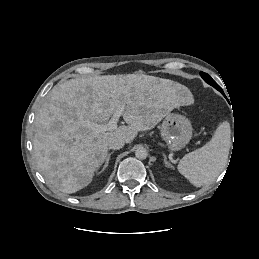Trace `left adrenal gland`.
Masks as SVG:
<instances>
[{
	"instance_id": "left-adrenal-gland-1",
	"label": "left adrenal gland",
	"mask_w": 259,
	"mask_h": 259,
	"mask_svg": "<svg viewBox=\"0 0 259 259\" xmlns=\"http://www.w3.org/2000/svg\"><path fill=\"white\" fill-rule=\"evenodd\" d=\"M162 155H163V159H164L165 165H166L167 167H170L171 164L167 161V157H166L165 153L162 152Z\"/></svg>"
}]
</instances>
